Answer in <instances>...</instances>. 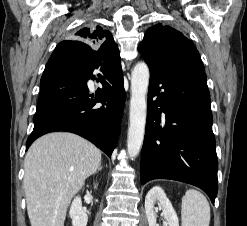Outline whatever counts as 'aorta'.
I'll use <instances>...</instances> for the list:
<instances>
[{
    "label": "aorta",
    "mask_w": 247,
    "mask_h": 226,
    "mask_svg": "<svg viewBox=\"0 0 247 226\" xmlns=\"http://www.w3.org/2000/svg\"><path fill=\"white\" fill-rule=\"evenodd\" d=\"M149 77L147 64L137 63L131 76L130 126L127 138V151L131 158L139 154L144 139Z\"/></svg>",
    "instance_id": "1"
}]
</instances>
